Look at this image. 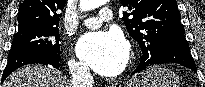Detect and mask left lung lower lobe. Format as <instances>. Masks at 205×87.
Returning <instances> with one entry per match:
<instances>
[{
    "mask_svg": "<svg viewBox=\"0 0 205 87\" xmlns=\"http://www.w3.org/2000/svg\"><path fill=\"white\" fill-rule=\"evenodd\" d=\"M164 63H177L196 72V65L190 55L189 45L184 34L175 35L167 39L161 46L159 54L152 59H142L132 75L151 65Z\"/></svg>",
    "mask_w": 205,
    "mask_h": 87,
    "instance_id": "0a47b994",
    "label": "left lung lower lobe"
}]
</instances>
